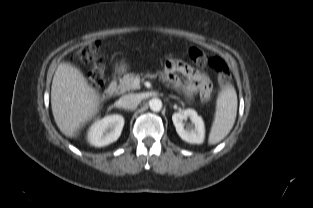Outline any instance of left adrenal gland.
I'll list each match as a JSON object with an SVG mask.
<instances>
[{
  "mask_svg": "<svg viewBox=\"0 0 313 208\" xmlns=\"http://www.w3.org/2000/svg\"><path fill=\"white\" fill-rule=\"evenodd\" d=\"M169 97L173 98V99H176V100H179V98L177 96H174V95H170Z\"/></svg>",
  "mask_w": 313,
  "mask_h": 208,
  "instance_id": "a2214340",
  "label": "left adrenal gland"
}]
</instances>
